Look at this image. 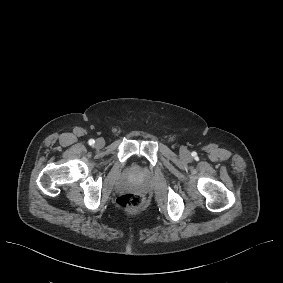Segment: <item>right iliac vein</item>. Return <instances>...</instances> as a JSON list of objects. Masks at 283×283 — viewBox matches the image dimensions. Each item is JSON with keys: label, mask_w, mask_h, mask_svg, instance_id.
<instances>
[{"label": "right iliac vein", "mask_w": 283, "mask_h": 283, "mask_svg": "<svg viewBox=\"0 0 283 283\" xmlns=\"http://www.w3.org/2000/svg\"><path fill=\"white\" fill-rule=\"evenodd\" d=\"M97 148H103L105 146V141L101 138H98L95 142Z\"/></svg>", "instance_id": "1"}]
</instances>
